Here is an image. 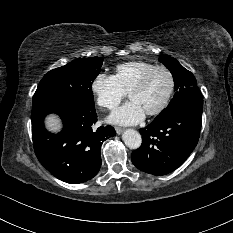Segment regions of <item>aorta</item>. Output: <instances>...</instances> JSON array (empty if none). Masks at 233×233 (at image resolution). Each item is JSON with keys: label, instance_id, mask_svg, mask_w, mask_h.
<instances>
[{"label": "aorta", "instance_id": "aorta-1", "mask_svg": "<svg viewBox=\"0 0 233 233\" xmlns=\"http://www.w3.org/2000/svg\"><path fill=\"white\" fill-rule=\"evenodd\" d=\"M122 139L125 145L131 149H137L141 146L142 138L139 132L133 129H127L123 135Z\"/></svg>", "mask_w": 233, "mask_h": 233}]
</instances>
